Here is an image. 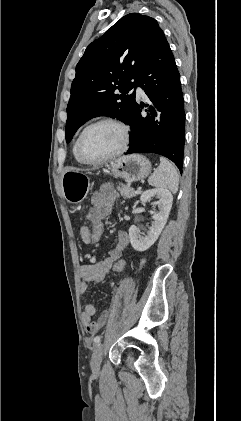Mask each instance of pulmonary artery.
<instances>
[{
    "instance_id": "e3ab8cb5",
    "label": "pulmonary artery",
    "mask_w": 241,
    "mask_h": 421,
    "mask_svg": "<svg viewBox=\"0 0 241 421\" xmlns=\"http://www.w3.org/2000/svg\"><path fill=\"white\" fill-rule=\"evenodd\" d=\"M135 91H136V94H137L138 97H141V96L144 95V91L140 86H136Z\"/></svg>"
}]
</instances>
